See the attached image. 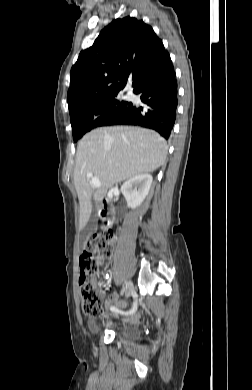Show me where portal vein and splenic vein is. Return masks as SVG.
Segmentation results:
<instances>
[{
	"instance_id": "obj_1",
	"label": "portal vein and splenic vein",
	"mask_w": 252,
	"mask_h": 390,
	"mask_svg": "<svg viewBox=\"0 0 252 390\" xmlns=\"http://www.w3.org/2000/svg\"><path fill=\"white\" fill-rule=\"evenodd\" d=\"M87 178L91 180V184L93 187L98 188L101 186L100 180L97 177H93L92 173H88Z\"/></svg>"
}]
</instances>
